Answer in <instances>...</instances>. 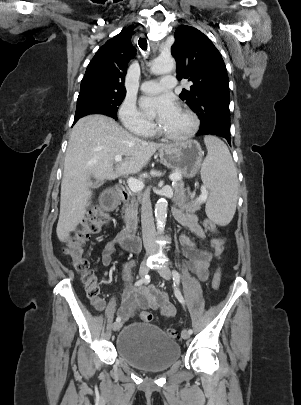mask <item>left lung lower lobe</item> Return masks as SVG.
Instances as JSON below:
<instances>
[{
	"mask_svg": "<svg viewBox=\"0 0 301 405\" xmlns=\"http://www.w3.org/2000/svg\"><path fill=\"white\" fill-rule=\"evenodd\" d=\"M197 135H215V136H220L225 138L228 143L230 144L231 141V137H230V130L229 129H225V128H221V127H211L208 129H200L197 132Z\"/></svg>",
	"mask_w": 301,
	"mask_h": 405,
	"instance_id": "left-lung-lower-lobe-1",
	"label": "left lung lower lobe"
}]
</instances>
